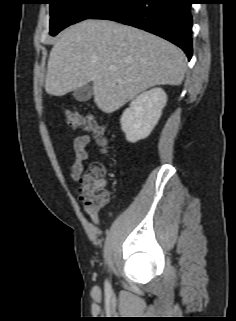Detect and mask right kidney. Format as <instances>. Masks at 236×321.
Segmentation results:
<instances>
[{
	"instance_id": "right-kidney-1",
	"label": "right kidney",
	"mask_w": 236,
	"mask_h": 321,
	"mask_svg": "<svg viewBox=\"0 0 236 321\" xmlns=\"http://www.w3.org/2000/svg\"><path fill=\"white\" fill-rule=\"evenodd\" d=\"M167 95L162 88H153L138 95L121 116V129L126 140L134 143L146 138L158 123Z\"/></svg>"
}]
</instances>
